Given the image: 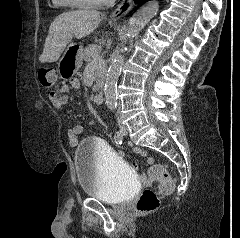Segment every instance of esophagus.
I'll return each mask as SVG.
<instances>
[{"label": "esophagus", "instance_id": "1", "mask_svg": "<svg viewBox=\"0 0 240 238\" xmlns=\"http://www.w3.org/2000/svg\"><path fill=\"white\" fill-rule=\"evenodd\" d=\"M133 5V0H121L116 9L111 13L110 18L113 20L123 18L133 8Z\"/></svg>", "mask_w": 240, "mask_h": 238}]
</instances>
